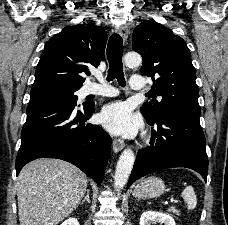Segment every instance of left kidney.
I'll return each instance as SVG.
<instances>
[{
	"label": "left kidney",
	"mask_w": 228,
	"mask_h": 225,
	"mask_svg": "<svg viewBox=\"0 0 228 225\" xmlns=\"http://www.w3.org/2000/svg\"><path fill=\"white\" fill-rule=\"evenodd\" d=\"M151 223L175 225L173 217L166 215V213H158V211H145V213H142L139 225H151Z\"/></svg>",
	"instance_id": "5707ae66"
}]
</instances>
